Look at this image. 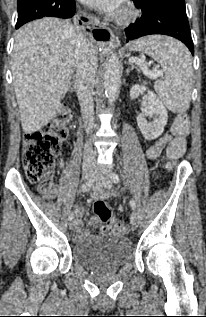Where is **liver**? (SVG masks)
<instances>
[{
    "instance_id": "obj_1",
    "label": "liver",
    "mask_w": 206,
    "mask_h": 317,
    "mask_svg": "<svg viewBox=\"0 0 206 317\" xmlns=\"http://www.w3.org/2000/svg\"><path fill=\"white\" fill-rule=\"evenodd\" d=\"M80 34L69 21L56 18L33 21L17 32L11 66L25 133L40 130L56 115L77 71ZM50 58L63 65H52Z\"/></svg>"
}]
</instances>
